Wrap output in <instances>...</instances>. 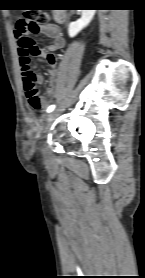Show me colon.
Here are the masks:
<instances>
[{
  "instance_id": "colon-1",
  "label": "colon",
  "mask_w": 145,
  "mask_h": 278,
  "mask_svg": "<svg viewBox=\"0 0 145 278\" xmlns=\"http://www.w3.org/2000/svg\"><path fill=\"white\" fill-rule=\"evenodd\" d=\"M35 10V9H31ZM37 11H28L25 17L19 20L15 25V33H21L22 31L29 30L36 32L45 29L48 24V19L43 15H36ZM40 51L39 46L35 43L32 38H26L22 42V46L19 49V54H27L29 56L36 54ZM46 58L49 61L55 59L53 51L46 52ZM30 62L24 68L23 83L27 97L28 104L33 110H40L44 106V101L40 96L38 89V78L30 70Z\"/></svg>"
}]
</instances>
